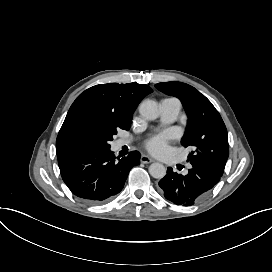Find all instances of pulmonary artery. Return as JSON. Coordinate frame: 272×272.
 <instances>
[{
    "label": "pulmonary artery",
    "instance_id": "pulmonary-artery-1",
    "mask_svg": "<svg viewBox=\"0 0 272 272\" xmlns=\"http://www.w3.org/2000/svg\"><path fill=\"white\" fill-rule=\"evenodd\" d=\"M181 112V103L177 98H165L160 102V119L163 126L170 125L174 123ZM130 140L128 139H118L113 141L112 150L118 151L122 146L128 145ZM183 171L185 173H190L192 171V166L190 164H185L183 166Z\"/></svg>",
    "mask_w": 272,
    "mask_h": 272
}]
</instances>
